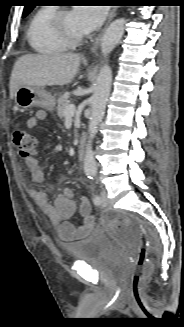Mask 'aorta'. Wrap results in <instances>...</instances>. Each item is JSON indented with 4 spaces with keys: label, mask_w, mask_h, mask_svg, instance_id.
Segmentation results:
<instances>
[{
    "label": "aorta",
    "mask_w": 184,
    "mask_h": 327,
    "mask_svg": "<svg viewBox=\"0 0 184 327\" xmlns=\"http://www.w3.org/2000/svg\"><path fill=\"white\" fill-rule=\"evenodd\" d=\"M125 19L113 21L105 30L101 39V52L105 58L119 44L125 30ZM112 83V70L105 63L97 76L93 95L90 99L91 115L88 126L89 136L85 148L84 171L87 175L95 177L97 174L96 161L92 148V141L97 134V128L103 119L106 103L110 94Z\"/></svg>",
    "instance_id": "aorta-1"
}]
</instances>
